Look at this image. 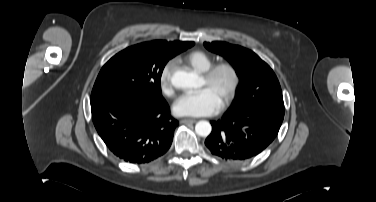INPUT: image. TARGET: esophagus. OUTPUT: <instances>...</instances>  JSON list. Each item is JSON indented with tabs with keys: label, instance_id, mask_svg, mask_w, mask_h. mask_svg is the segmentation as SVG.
<instances>
[{
	"label": "esophagus",
	"instance_id": "obj_1",
	"mask_svg": "<svg viewBox=\"0 0 376 202\" xmlns=\"http://www.w3.org/2000/svg\"><path fill=\"white\" fill-rule=\"evenodd\" d=\"M181 122L184 123V124H192V123H195L196 120L185 118V119H182Z\"/></svg>",
	"mask_w": 376,
	"mask_h": 202
}]
</instances>
